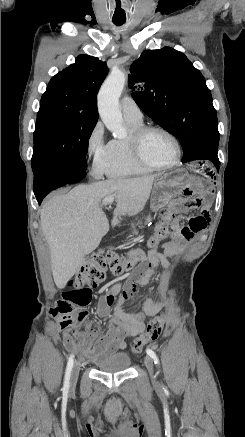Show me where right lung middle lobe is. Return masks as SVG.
Returning a JSON list of instances; mask_svg holds the SVG:
<instances>
[{
	"label": "right lung middle lobe",
	"mask_w": 245,
	"mask_h": 437,
	"mask_svg": "<svg viewBox=\"0 0 245 437\" xmlns=\"http://www.w3.org/2000/svg\"><path fill=\"white\" fill-rule=\"evenodd\" d=\"M97 119L59 107L40 108L34 131L33 173L49 165L85 168Z\"/></svg>",
	"instance_id": "obj_1"
}]
</instances>
